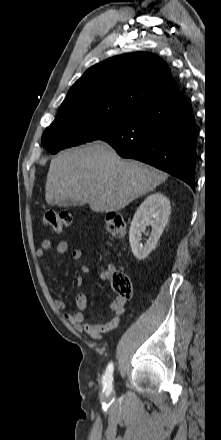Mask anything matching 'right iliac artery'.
Instances as JSON below:
<instances>
[{
  "label": "right iliac artery",
  "mask_w": 221,
  "mask_h": 440,
  "mask_svg": "<svg viewBox=\"0 0 221 440\" xmlns=\"http://www.w3.org/2000/svg\"><path fill=\"white\" fill-rule=\"evenodd\" d=\"M113 369H114L113 363H110L107 366L105 375L103 377V386L106 395H110V393L112 392Z\"/></svg>",
  "instance_id": "right-iliac-artery-1"
}]
</instances>
